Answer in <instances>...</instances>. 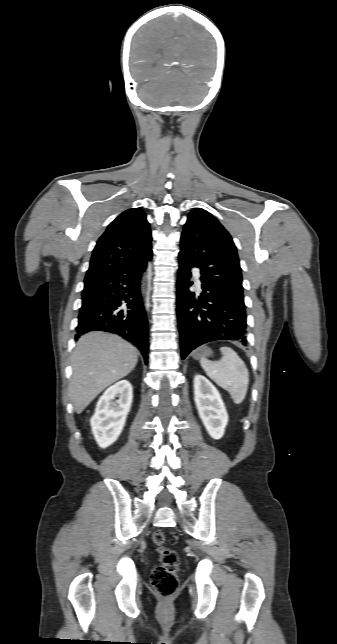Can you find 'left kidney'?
Segmentation results:
<instances>
[{
	"instance_id": "obj_1",
	"label": "left kidney",
	"mask_w": 337,
	"mask_h": 644,
	"mask_svg": "<svg viewBox=\"0 0 337 644\" xmlns=\"http://www.w3.org/2000/svg\"><path fill=\"white\" fill-rule=\"evenodd\" d=\"M194 400L207 432L213 439H220L228 423V413L216 387L202 375L194 377Z\"/></svg>"
}]
</instances>
